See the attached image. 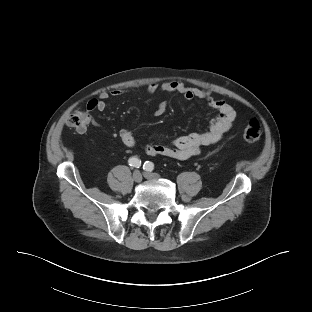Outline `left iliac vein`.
Returning a JSON list of instances; mask_svg holds the SVG:
<instances>
[{"label": "left iliac vein", "mask_w": 312, "mask_h": 312, "mask_svg": "<svg viewBox=\"0 0 312 312\" xmlns=\"http://www.w3.org/2000/svg\"><path fill=\"white\" fill-rule=\"evenodd\" d=\"M144 177L147 179H159L160 176L157 173H150V172H145Z\"/></svg>", "instance_id": "obj_1"}]
</instances>
